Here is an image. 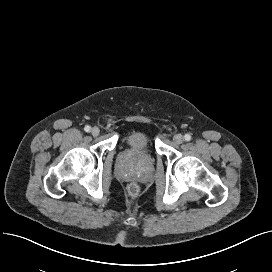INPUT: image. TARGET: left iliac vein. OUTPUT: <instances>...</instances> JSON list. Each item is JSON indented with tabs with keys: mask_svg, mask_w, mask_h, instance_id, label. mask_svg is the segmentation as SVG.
I'll return each instance as SVG.
<instances>
[{
	"mask_svg": "<svg viewBox=\"0 0 272 272\" xmlns=\"http://www.w3.org/2000/svg\"><path fill=\"white\" fill-rule=\"evenodd\" d=\"M173 140L176 144H181L184 141V137L181 134H176Z\"/></svg>",
	"mask_w": 272,
	"mask_h": 272,
	"instance_id": "1",
	"label": "left iliac vein"
}]
</instances>
